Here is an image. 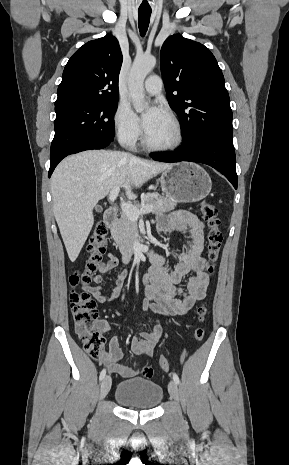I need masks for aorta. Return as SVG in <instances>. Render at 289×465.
<instances>
[{"label":"aorta","mask_w":289,"mask_h":465,"mask_svg":"<svg viewBox=\"0 0 289 465\" xmlns=\"http://www.w3.org/2000/svg\"><path fill=\"white\" fill-rule=\"evenodd\" d=\"M155 65L156 58L154 56H141L135 58L131 67L128 80L129 97L137 112H142L147 106L144 80Z\"/></svg>","instance_id":"762f6f07"}]
</instances>
